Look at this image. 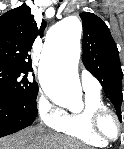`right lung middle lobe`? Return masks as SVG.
Listing matches in <instances>:
<instances>
[{
  "label": "right lung middle lobe",
  "mask_w": 124,
  "mask_h": 149,
  "mask_svg": "<svg viewBox=\"0 0 124 149\" xmlns=\"http://www.w3.org/2000/svg\"><path fill=\"white\" fill-rule=\"evenodd\" d=\"M0 91L22 98L30 106L37 108L38 85L29 82L27 73L7 66H0Z\"/></svg>",
  "instance_id": "right-lung-middle-lobe-1"
}]
</instances>
